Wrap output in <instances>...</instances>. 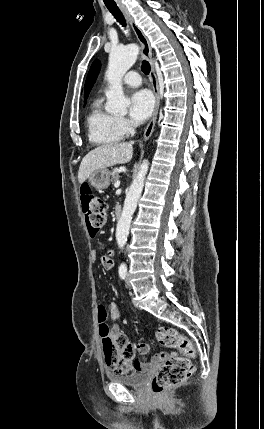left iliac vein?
I'll return each instance as SVG.
<instances>
[{
    "label": "left iliac vein",
    "instance_id": "4c4485c4",
    "mask_svg": "<svg viewBox=\"0 0 264 429\" xmlns=\"http://www.w3.org/2000/svg\"><path fill=\"white\" fill-rule=\"evenodd\" d=\"M126 286L129 288V290L132 289L129 276H127V279H126Z\"/></svg>",
    "mask_w": 264,
    "mask_h": 429
}]
</instances>
